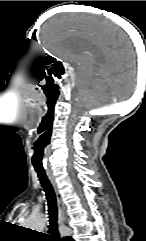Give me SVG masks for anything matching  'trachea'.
Wrapping results in <instances>:
<instances>
[{
  "label": "trachea",
  "instance_id": "obj_1",
  "mask_svg": "<svg viewBox=\"0 0 146 241\" xmlns=\"http://www.w3.org/2000/svg\"><path fill=\"white\" fill-rule=\"evenodd\" d=\"M38 175L41 186L45 192L47 203H48V215H49V226L48 232L50 233L51 241H64L60 238L58 231V212H57V201L56 194L54 192L53 186L48 179L45 170L35 168Z\"/></svg>",
  "mask_w": 146,
  "mask_h": 241
}]
</instances>
